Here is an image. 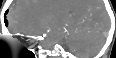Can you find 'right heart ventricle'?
Instances as JSON below:
<instances>
[{"mask_svg":"<svg viewBox=\"0 0 116 58\" xmlns=\"http://www.w3.org/2000/svg\"><path fill=\"white\" fill-rule=\"evenodd\" d=\"M27 4V6H30L32 3H26Z\"/></svg>","mask_w":116,"mask_h":58,"instance_id":"right-heart-ventricle-1","label":"right heart ventricle"}]
</instances>
